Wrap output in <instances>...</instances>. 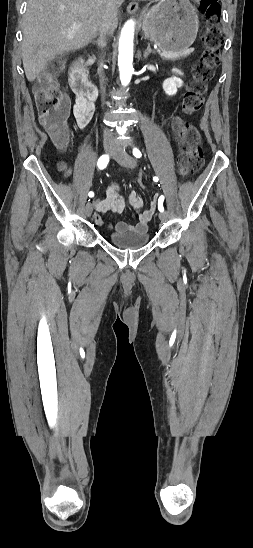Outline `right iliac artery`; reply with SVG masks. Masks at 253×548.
Returning <instances> with one entry per match:
<instances>
[{
  "label": "right iliac artery",
  "mask_w": 253,
  "mask_h": 548,
  "mask_svg": "<svg viewBox=\"0 0 253 548\" xmlns=\"http://www.w3.org/2000/svg\"><path fill=\"white\" fill-rule=\"evenodd\" d=\"M109 162V156L108 155H102L99 159H98V162H97V165L99 167V169H105L107 164ZM89 197H93L94 196V193L91 191L89 192ZM90 201V200H89Z\"/></svg>",
  "instance_id": "right-iliac-artery-1"
}]
</instances>
